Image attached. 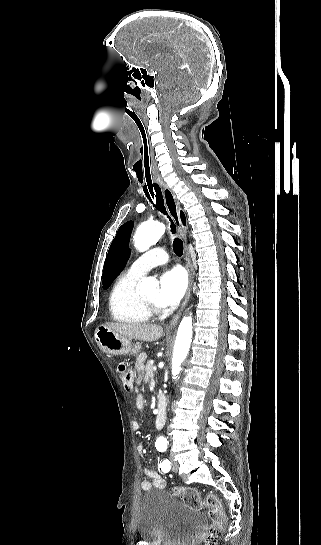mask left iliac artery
<instances>
[{
	"label": "left iliac artery",
	"instance_id": "1",
	"mask_svg": "<svg viewBox=\"0 0 321 545\" xmlns=\"http://www.w3.org/2000/svg\"><path fill=\"white\" fill-rule=\"evenodd\" d=\"M166 449H167V446H165V445L157 447V450L159 452H163ZM159 467L163 472H168L170 470V467H171V462L168 459H165L162 463H160Z\"/></svg>",
	"mask_w": 321,
	"mask_h": 545
}]
</instances>
